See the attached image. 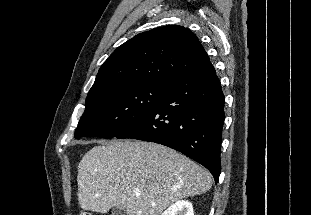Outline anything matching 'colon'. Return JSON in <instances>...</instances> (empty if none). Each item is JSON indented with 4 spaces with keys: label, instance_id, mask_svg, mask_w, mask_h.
<instances>
[{
    "label": "colon",
    "instance_id": "1",
    "mask_svg": "<svg viewBox=\"0 0 311 215\" xmlns=\"http://www.w3.org/2000/svg\"><path fill=\"white\" fill-rule=\"evenodd\" d=\"M79 215H93V214L89 211H82Z\"/></svg>",
    "mask_w": 311,
    "mask_h": 215
}]
</instances>
